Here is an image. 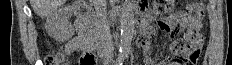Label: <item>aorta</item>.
Listing matches in <instances>:
<instances>
[{
    "label": "aorta",
    "mask_w": 232,
    "mask_h": 65,
    "mask_svg": "<svg viewBox=\"0 0 232 65\" xmlns=\"http://www.w3.org/2000/svg\"><path fill=\"white\" fill-rule=\"evenodd\" d=\"M135 27V17L133 6L128 0L122 4L120 14V43H119V55L121 57H128L131 50V44L133 40V33Z\"/></svg>",
    "instance_id": "1"
}]
</instances>
